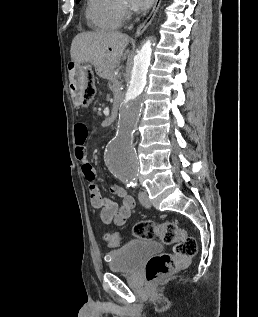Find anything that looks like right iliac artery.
<instances>
[{"label": "right iliac artery", "instance_id": "right-iliac-artery-1", "mask_svg": "<svg viewBox=\"0 0 258 317\" xmlns=\"http://www.w3.org/2000/svg\"><path fill=\"white\" fill-rule=\"evenodd\" d=\"M121 179H122V181L125 182V184H126L127 187H130L129 183H127V182L125 181V178H121Z\"/></svg>", "mask_w": 258, "mask_h": 317}]
</instances>
